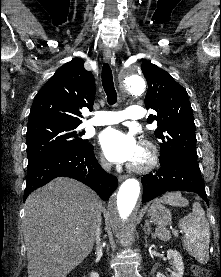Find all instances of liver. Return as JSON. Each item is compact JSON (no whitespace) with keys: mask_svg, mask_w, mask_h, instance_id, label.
<instances>
[{"mask_svg":"<svg viewBox=\"0 0 221 277\" xmlns=\"http://www.w3.org/2000/svg\"><path fill=\"white\" fill-rule=\"evenodd\" d=\"M101 210L97 194L71 178L31 193L23 221L28 277H66L92 251Z\"/></svg>","mask_w":221,"mask_h":277,"instance_id":"liver-1","label":"liver"}]
</instances>
